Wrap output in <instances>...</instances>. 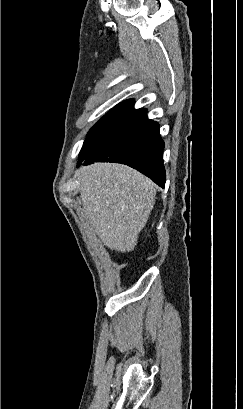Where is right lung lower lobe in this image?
I'll list each match as a JSON object with an SVG mask.
<instances>
[{
    "label": "right lung lower lobe",
    "mask_w": 243,
    "mask_h": 409,
    "mask_svg": "<svg viewBox=\"0 0 243 409\" xmlns=\"http://www.w3.org/2000/svg\"><path fill=\"white\" fill-rule=\"evenodd\" d=\"M146 109H134L133 100L121 103L118 110L85 140L78 165L92 162L126 164L164 187V142L159 124L149 120Z\"/></svg>",
    "instance_id": "obj_1"
}]
</instances>
